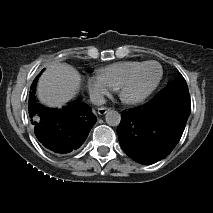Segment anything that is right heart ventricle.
<instances>
[{
	"label": "right heart ventricle",
	"mask_w": 213,
	"mask_h": 213,
	"mask_svg": "<svg viewBox=\"0 0 213 213\" xmlns=\"http://www.w3.org/2000/svg\"><path fill=\"white\" fill-rule=\"evenodd\" d=\"M140 63L134 60L115 62L100 68L98 74L113 90H117L122 80Z\"/></svg>",
	"instance_id": "1"
}]
</instances>
